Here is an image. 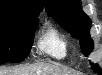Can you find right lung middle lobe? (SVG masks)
<instances>
[{
	"mask_svg": "<svg viewBox=\"0 0 102 75\" xmlns=\"http://www.w3.org/2000/svg\"><path fill=\"white\" fill-rule=\"evenodd\" d=\"M37 17L0 12V64L19 63L28 56Z\"/></svg>",
	"mask_w": 102,
	"mask_h": 75,
	"instance_id": "right-lung-middle-lobe-1",
	"label": "right lung middle lobe"
}]
</instances>
